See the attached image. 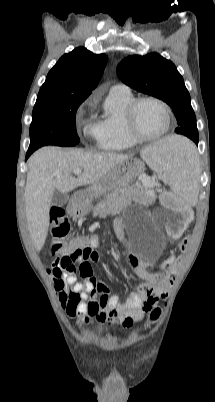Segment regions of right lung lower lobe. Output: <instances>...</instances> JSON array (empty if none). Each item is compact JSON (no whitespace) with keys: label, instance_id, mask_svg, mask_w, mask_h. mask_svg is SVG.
<instances>
[{"label":"right lung lower lobe","instance_id":"obj_1","mask_svg":"<svg viewBox=\"0 0 215 402\" xmlns=\"http://www.w3.org/2000/svg\"><path fill=\"white\" fill-rule=\"evenodd\" d=\"M32 153H33V152H31V151H27L26 159H27Z\"/></svg>","mask_w":215,"mask_h":402}]
</instances>
